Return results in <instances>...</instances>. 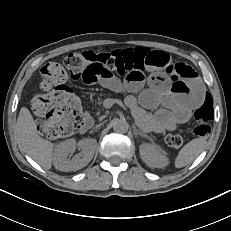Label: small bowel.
Returning a JSON list of instances; mask_svg holds the SVG:
<instances>
[{
  "label": "small bowel",
  "mask_w": 231,
  "mask_h": 231,
  "mask_svg": "<svg viewBox=\"0 0 231 231\" xmlns=\"http://www.w3.org/2000/svg\"><path fill=\"white\" fill-rule=\"evenodd\" d=\"M152 55L162 56L161 51L149 49ZM187 76L190 90L178 92L168 81L160 62L155 61L142 71L127 74L122 81L104 66L92 64L81 77L85 84H99L112 91H126L131 93L125 99L133 115L141 126L154 132L174 130L179 125L186 123L191 116V111L204 99V86L196 72L186 64H179ZM144 71L148 72L145 76ZM148 89H144L145 85ZM138 93V96H134ZM155 110L154 113L151 111Z\"/></svg>",
  "instance_id": "obj_1"
}]
</instances>
